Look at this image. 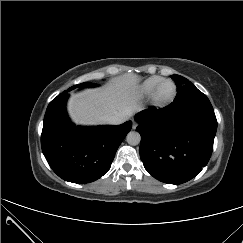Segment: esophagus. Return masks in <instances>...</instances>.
Returning <instances> with one entry per match:
<instances>
[{"label": "esophagus", "mask_w": 243, "mask_h": 243, "mask_svg": "<svg viewBox=\"0 0 243 243\" xmlns=\"http://www.w3.org/2000/svg\"><path fill=\"white\" fill-rule=\"evenodd\" d=\"M137 125H138V123L135 120H133L132 121V128L136 129Z\"/></svg>", "instance_id": "1"}]
</instances>
